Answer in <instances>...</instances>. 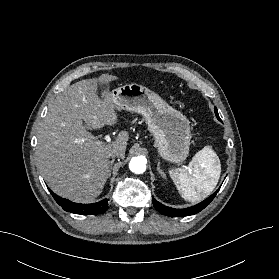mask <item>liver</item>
I'll return each mask as SVG.
<instances>
[{"label":"liver","instance_id":"liver-1","mask_svg":"<svg viewBox=\"0 0 279 279\" xmlns=\"http://www.w3.org/2000/svg\"><path fill=\"white\" fill-rule=\"evenodd\" d=\"M117 76L102 74L98 78L76 82L60 93L50 105L37 135V161L42 176L57 195L75 202H90L98 197L110 170L109 153L123 150L129 134L121 131L115 141L103 143L86 128L96 130L118 122L116 105L109 86ZM100 142V143H99Z\"/></svg>","mask_w":279,"mask_h":279}]
</instances>
